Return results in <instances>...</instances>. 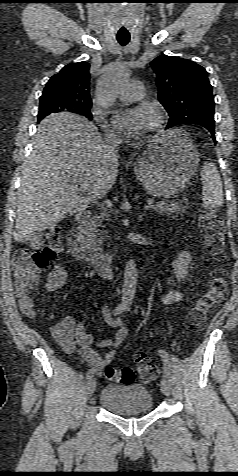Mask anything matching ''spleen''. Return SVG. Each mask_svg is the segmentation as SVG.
<instances>
[{"label": "spleen", "instance_id": "1", "mask_svg": "<svg viewBox=\"0 0 238 476\" xmlns=\"http://www.w3.org/2000/svg\"><path fill=\"white\" fill-rule=\"evenodd\" d=\"M203 190V204L210 209H217L222 206L223 187L217 167L212 162H206L200 173Z\"/></svg>", "mask_w": 238, "mask_h": 476}]
</instances>
